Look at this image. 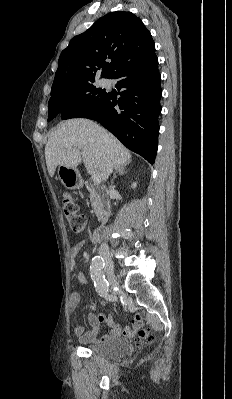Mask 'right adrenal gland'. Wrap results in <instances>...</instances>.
Instances as JSON below:
<instances>
[{"label":"right adrenal gland","mask_w":232,"mask_h":399,"mask_svg":"<svg viewBox=\"0 0 232 399\" xmlns=\"http://www.w3.org/2000/svg\"><path fill=\"white\" fill-rule=\"evenodd\" d=\"M126 166H128V164H124V166H120V168H116L114 178H112V180H111V184H114V180H115V178H117L116 174H119V176H124Z\"/></svg>","instance_id":"2a0ac1e0"}]
</instances>
